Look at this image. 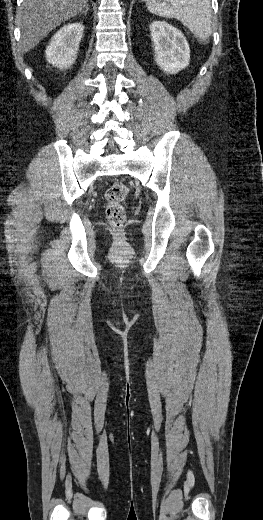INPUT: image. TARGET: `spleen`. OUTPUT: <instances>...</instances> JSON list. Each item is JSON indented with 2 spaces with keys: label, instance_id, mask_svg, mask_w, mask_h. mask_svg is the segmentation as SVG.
Instances as JSON below:
<instances>
[{
  "label": "spleen",
  "instance_id": "3e777b00",
  "mask_svg": "<svg viewBox=\"0 0 263 520\" xmlns=\"http://www.w3.org/2000/svg\"><path fill=\"white\" fill-rule=\"evenodd\" d=\"M155 15L175 18L186 26L201 44H207L212 32L210 0H145Z\"/></svg>",
  "mask_w": 263,
  "mask_h": 520
}]
</instances>
